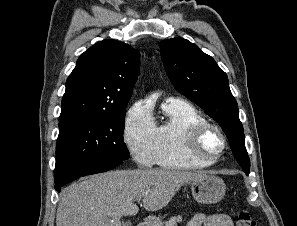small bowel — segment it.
Returning a JSON list of instances; mask_svg holds the SVG:
<instances>
[{"label":"small bowel","mask_w":297,"mask_h":226,"mask_svg":"<svg viewBox=\"0 0 297 226\" xmlns=\"http://www.w3.org/2000/svg\"><path fill=\"white\" fill-rule=\"evenodd\" d=\"M186 226H233V221L226 214L197 213L188 221Z\"/></svg>","instance_id":"obj_1"}]
</instances>
